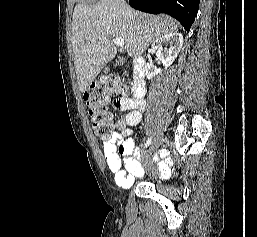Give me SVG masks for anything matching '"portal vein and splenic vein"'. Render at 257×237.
<instances>
[{"label":"portal vein and splenic vein","instance_id":"obj_1","mask_svg":"<svg viewBox=\"0 0 257 237\" xmlns=\"http://www.w3.org/2000/svg\"><path fill=\"white\" fill-rule=\"evenodd\" d=\"M112 42L120 48H123L125 46V42L122 38H112Z\"/></svg>","mask_w":257,"mask_h":237}]
</instances>
